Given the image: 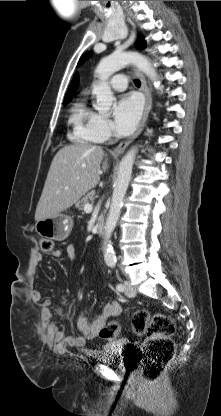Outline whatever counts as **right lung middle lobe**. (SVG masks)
<instances>
[{
  "mask_svg": "<svg viewBox=\"0 0 221 416\" xmlns=\"http://www.w3.org/2000/svg\"><path fill=\"white\" fill-rule=\"evenodd\" d=\"M69 101H64V105H66Z\"/></svg>",
  "mask_w": 221,
  "mask_h": 416,
  "instance_id": "1",
  "label": "right lung middle lobe"
}]
</instances>
